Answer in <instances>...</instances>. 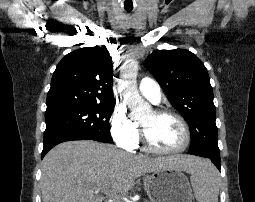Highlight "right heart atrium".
Instances as JSON below:
<instances>
[{
    "mask_svg": "<svg viewBox=\"0 0 255 202\" xmlns=\"http://www.w3.org/2000/svg\"><path fill=\"white\" fill-rule=\"evenodd\" d=\"M109 131L114 142L125 150H133L139 141V129L126 110L117 106L109 119Z\"/></svg>",
    "mask_w": 255,
    "mask_h": 202,
    "instance_id": "right-heart-atrium-1",
    "label": "right heart atrium"
}]
</instances>
